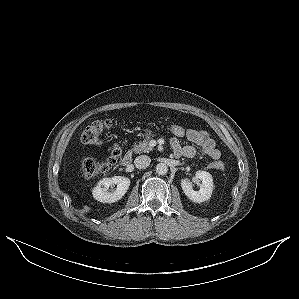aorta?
<instances>
[{
	"label": "aorta",
	"instance_id": "762f6f07",
	"mask_svg": "<svg viewBox=\"0 0 299 299\" xmlns=\"http://www.w3.org/2000/svg\"><path fill=\"white\" fill-rule=\"evenodd\" d=\"M168 172V167L164 163H159L156 166V173L158 175H165Z\"/></svg>",
	"mask_w": 299,
	"mask_h": 299
}]
</instances>
